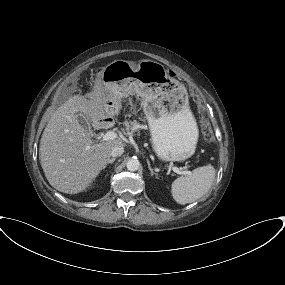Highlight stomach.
Listing matches in <instances>:
<instances>
[{
    "instance_id": "obj_1",
    "label": "stomach",
    "mask_w": 285,
    "mask_h": 285,
    "mask_svg": "<svg viewBox=\"0 0 285 285\" xmlns=\"http://www.w3.org/2000/svg\"><path fill=\"white\" fill-rule=\"evenodd\" d=\"M101 78L106 87L124 97L135 92L142 98L152 146L160 160L182 161L194 154L198 128L187 90L168 75L162 64L152 60L138 64L116 60L103 69ZM106 104L111 110L106 118L118 114L120 109L115 101L107 100Z\"/></svg>"
}]
</instances>
